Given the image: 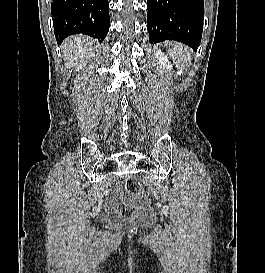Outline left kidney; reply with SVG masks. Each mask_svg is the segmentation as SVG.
I'll list each match as a JSON object with an SVG mask.
<instances>
[{
    "label": "left kidney",
    "mask_w": 265,
    "mask_h": 273,
    "mask_svg": "<svg viewBox=\"0 0 265 273\" xmlns=\"http://www.w3.org/2000/svg\"><path fill=\"white\" fill-rule=\"evenodd\" d=\"M156 59L167 70H170V71L172 70V65L170 64L168 57L164 53H162L161 51H157Z\"/></svg>",
    "instance_id": "1"
}]
</instances>
